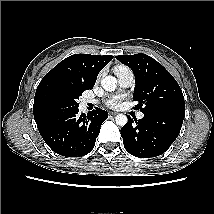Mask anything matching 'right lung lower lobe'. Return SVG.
<instances>
[{
    "label": "right lung lower lobe",
    "instance_id": "98d812e1",
    "mask_svg": "<svg viewBox=\"0 0 214 214\" xmlns=\"http://www.w3.org/2000/svg\"><path fill=\"white\" fill-rule=\"evenodd\" d=\"M77 108L61 109L36 123L47 145L65 157L88 154L95 145L101 124L108 118L106 111L96 108L86 116Z\"/></svg>",
    "mask_w": 214,
    "mask_h": 214
}]
</instances>
